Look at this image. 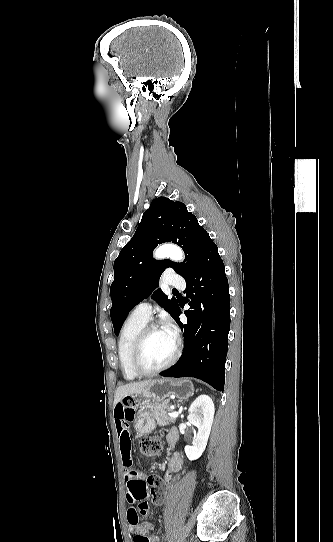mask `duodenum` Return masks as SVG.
<instances>
[{
  "mask_svg": "<svg viewBox=\"0 0 333 542\" xmlns=\"http://www.w3.org/2000/svg\"><path fill=\"white\" fill-rule=\"evenodd\" d=\"M167 439H168L169 443H175L176 440H177V434L176 433H170V434H168Z\"/></svg>",
  "mask_w": 333,
  "mask_h": 542,
  "instance_id": "1",
  "label": "duodenum"
}]
</instances>
